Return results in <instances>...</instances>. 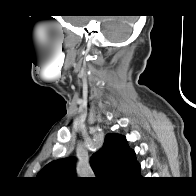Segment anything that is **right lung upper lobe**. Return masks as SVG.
<instances>
[{
    "mask_svg": "<svg viewBox=\"0 0 196 196\" xmlns=\"http://www.w3.org/2000/svg\"><path fill=\"white\" fill-rule=\"evenodd\" d=\"M74 158H66L47 164L38 178L50 185H58L74 178ZM91 167L98 178L135 179L140 175V164L126 138L118 134H107L102 149L93 154Z\"/></svg>",
    "mask_w": 196,
    "mask_h": 196,
    "instance_id": "obj_1",
    "label": "right lung upper lobe"
}]
</instances>
